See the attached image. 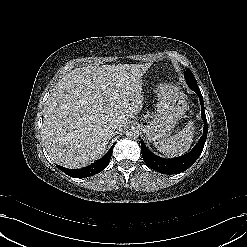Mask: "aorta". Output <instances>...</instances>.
Instances as JSON below:
<instances>
[{"label": "aorta", "instance_id": "1", "mask_svg": "<svg viewBox=\"0 0 247 247\" xmlns=\"http://www.w3.org/2000/svg\"><path fill=\"white\" fill-rule=\"evenodd\" d=\"M126 135L130 138L136 139L139 137V130L137 127H129L126 131Z\"/></svg>", "mask_w": 247, "mask_h": 247}]
</instances>
